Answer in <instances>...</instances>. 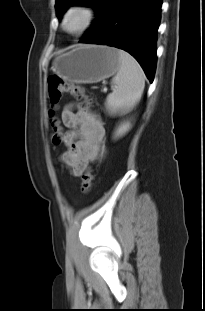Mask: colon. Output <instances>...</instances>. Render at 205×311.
Listing matches in <instances>:
<instances>
[{
  "label": "colon",
  "instance_id": "colon-1",
  "mask_svg": "<svg viewBox=\"0 0 205 311\" xmlns=\"http://www.w3.org/2000/svg\"><path fill=\"white\" fill-rule=\"evenodd\" d=\"M65 93H70L81 101V107L83 109H89L91 106L90 99L85 95L84 90L73 83H70L58 76H52L48 80V94L51 107L57 108L60 104L62 96ZM51 127L53 129L52 142L54 145H60L64 142L65 135L62 132L59 122L55 118L50 120ZM93 181V173L91 170H87L82 175L81 190L84 193L89 192Z\"/></svg>",
  "mask_w": 205,
  "mask_h": 311
}]
</instances>
